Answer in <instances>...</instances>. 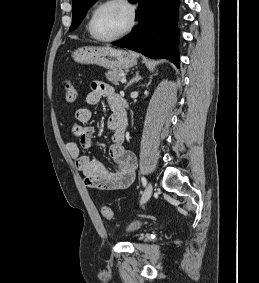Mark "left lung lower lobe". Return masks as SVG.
Listing matches in <instances>:
<instances>
[{
	"instance_id": "left-lung-lower-lobe-1",
	"label": "left lung lower lobe",
	"mask_w": 259,
	"mask_h": 283,
	"mask_svg": "<svg viewBox=\"0 0 259 283\" xmlns=\"http://www.w3.org/2000/svg\"><path fill=\"white\" fill-rule=\"evenodd\" d=\"M138 2V26L123 40L113 43L152 58H168L179 67L177 52L178 0H133Z\"/></svg>"
}]
</instances>
